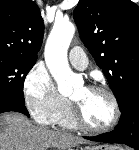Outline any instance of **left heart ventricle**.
<instances>
[{
	"instance_id": "left-heart-ventricle-1",
	"label": "left heart ventricle",
	"mask_w": 139,
	"mask_h": 150,
	"mask_svg": "<svg viewBox=\"0 0 139 150\" xmlns=\"http://www.w3.org/2000/svg\"><path fill=\"white\" fill-rule=\"evenodd\" d=\"M71 99L78 103L85 121L94 127L107 125L113 115L109 97L99 91L79 86L71 95Z\"/></svg>"
}]
</instances>
